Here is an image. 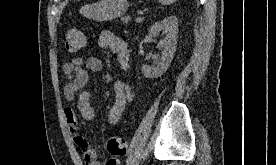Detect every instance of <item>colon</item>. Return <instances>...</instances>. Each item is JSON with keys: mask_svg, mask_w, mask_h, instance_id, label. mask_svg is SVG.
Segmentation results:
<instances>
[{"mask_svg": "<svg viewBox=\"0 0 276 165\" xmlns=\"http://www.w3.org/2000/svg\"><path fill=\"white\" fill-rule=\"evenodd\" d=\"M64 42L67 51L72 53L83 50L87 44L84 33L76 27L68 28L65 31ZM107 148L112 156H123L127 152L126 141L120 136L111 137L107 141Z\"/></svg>", "mask_w": 276, "mask_h": 165, "instance_id": "5ec220e1", "label": "colon"}]
</instances>
